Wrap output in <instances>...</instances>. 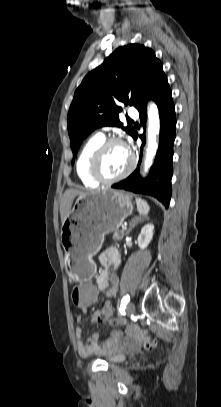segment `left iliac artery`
I'll list each match as a JSON object with an SVG mask.
<instances>
[{"label": "left iliac artery", "mask_w": 221, "mask_h": 407, "mask_svg": "<svg viewBox=\"0 0 221 407\" xmlns=\"http://www.w3.org/2000/svg\"><path fill=\"white\" fill-rule=\"evenodd\" d=\"M129 301H130V296L129 295H126V296H124L122 298L121 305H120V310L121 311L125 309L126 305L129 303Z\"/></svg>", "instance_id": "obj_1"}]
</instances>
